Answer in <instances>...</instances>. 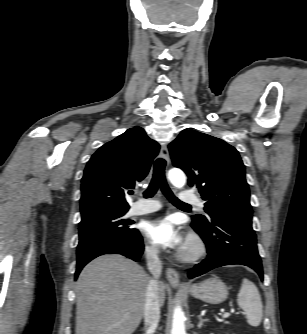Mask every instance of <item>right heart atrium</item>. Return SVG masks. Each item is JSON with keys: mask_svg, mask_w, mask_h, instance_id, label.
I'll list each match as a JSON object with an SVG mask.
<instances>
[{"mask_svg": "<svg viewBox=\"0 0 307 334\" xmlns=\"http://www.w3.org/2000/svg\"><path fill=\"white\" fill-rule=\"evenodd\" d=\"M144 250L149 257H154L157 255V249L152 244H146Z\"/></svg>", "mask_w": 307, "mask_h": 334, "instance_id": "d8ad5b80", "label": "right heart atrium"}]
</instances>
